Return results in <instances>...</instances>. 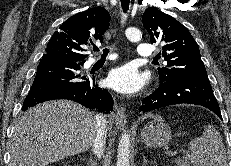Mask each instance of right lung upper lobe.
Returning <instances> with one entry per match:
<instances>
[{"label":"right lung upper lobe","instance_id":"1","mask_svg":"<svg viewBox=\"0 0 231 166\" xmlns=\"http://www.w3.org/2000/svg\"><path fill=\"white\" fill-rule=\"evenodd\" d=\"M110 14L103 7H95L77 13L67 19L47 44L46 54L75 62H84L85 46L92 39L102 41L109 28Z\"/></svg>","mask_w":231,"mask_h":166}]
</instances>
